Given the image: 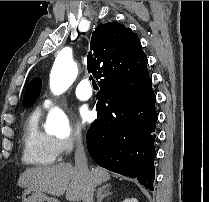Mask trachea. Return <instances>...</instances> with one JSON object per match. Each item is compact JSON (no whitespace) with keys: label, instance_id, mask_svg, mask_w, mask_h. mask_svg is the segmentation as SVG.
Returning a JSON list of instances; mask_svg holds the SVG:
<instances>
[{"label":"trachea","instance_id":"3493384b","mask_svg":"<svg viewBox=\"0 0 209 202\" xmlns=\"http://www.w3.org/2000/svg\"><path fill=\"white\" fill-rule=\"evenodd\" d=\"M89 79L92 80V85H93V87H97V83H96L95 80L92 78V76H90Z\"/></svg>","mask_w":209,"mask_h":202}]
</instances>
